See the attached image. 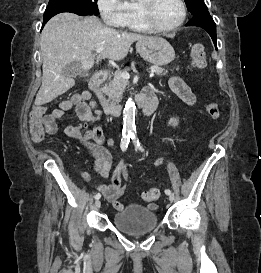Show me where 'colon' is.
I'll return each instance as SVG.
<instances>
[{
    "label": "colon",
    "instance_id": "1",
    "mask_svg": "<svg viewBox=\"0 0 261 273\" xmlns=\"http://www.w3.org/2000/svg\"><path fill=\"white\" fill-rule=\"evenodd\" d=\"M190 66L193 69H201L206 65V51L203 45L193 44L190 49ZM206 112L212 120L220 117V108L216 102H209L206 105ZM46 117V108L38 106L32 109L29 116V129L35 141H42L45 138L44 121ZM142 198L145 201H156L160 197L158 188H150L142 192Z\"/></svg>",
    "mask_w": 261,
    "mask_h": 273
}]
</instances>
